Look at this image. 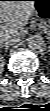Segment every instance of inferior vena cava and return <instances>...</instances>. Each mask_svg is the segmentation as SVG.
<instances>
[{"label":"inferior vena cava","instance_id":"602c4592","mask_svg":"<svg viewBox=\"0 0 50 111\" xmlns=\"http://www.w3.org/2000/svg\"><path fill=\"white\" fill-rule=\"evenodd\" d=\"M20 35L19 34H15V35H11V34H5L2 36V42H4L7 45H12L14 43H17L20 41Z\"/></svg>","mask_w":50,"mask_h":111}]
</instances>
